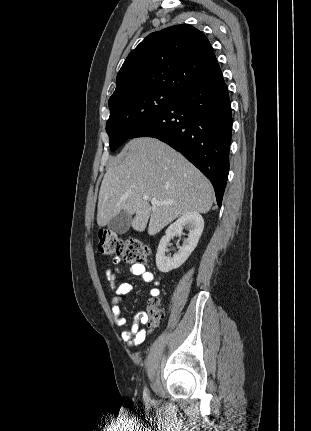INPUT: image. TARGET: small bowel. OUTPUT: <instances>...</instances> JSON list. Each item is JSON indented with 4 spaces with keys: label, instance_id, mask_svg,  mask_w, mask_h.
<instances>
[{
    "label": "small bowel",
    "instance_id": "small-bowel-1",
    "mask_svg": "<svg viewBox=\"0 0 311 431\" xmlns=\"http://www.w3.org/2000/svg\"><path fill=\"white\" fill-rule=\"evenodd\" d=\"M119 263V258H115L113 260L114 268L107 269L105 271V279L113 291L112 313L115 317L117 325L124 327L127 325V320L121 316L120 303L125 295L132 292L133 286L127 282H119L120 278H122L121 271L118 267ZM129 271L132 275L140 276L142 281L145 283H152L154 281V275L143 264H133L131 265ZM150 294L152 297H157L159 295V290L157 288H152ZM143 322H145V314L139 313L136 322L129 329L122 331L121 337L125 342H127V344H140L144 341L146 332L145 330L139 328V323Z\"/></svg>",
    "mask_w": 311,
    "mask_h": 431
}]
</instances>
